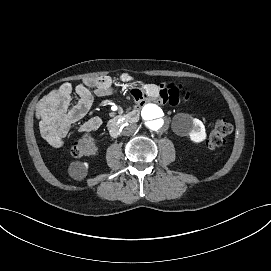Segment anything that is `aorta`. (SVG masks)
Masks as SVG:
<instances>
[{
	"mask_svg": "<svg viewBox=\"0 0 271 271\" xmlns=\"http://www.w3.org/2000/svg\"><path fill=\"white\" fill-rule=\"evenodd\" d=\"M141 118L150 131L165 130L169 122V112L156 103L145 104L141 109Z\"/></svg>",
	"mask_w": 271,
	"mask_h": 271,
	"instance_id": "762f6f07",
	"label": "aorta"
}]
</instances>
